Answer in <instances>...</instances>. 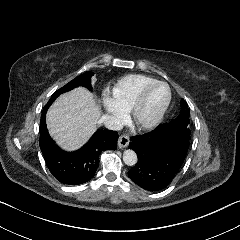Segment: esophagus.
Segmentation results:
<instances>
[{"mask_svg":"<svg viewBox=\"0 0 240 240\" xmlns=\"http://www.w3.org/2000/svg\"><path fill=\"white\" fill-rule=\"evenodd\" d=\"M129 144V137L127 135H121L118 139V147L120 149L126 148Z\"/></svg>","mask_w":240,"mask_h":240,"instance_id":"34e87169","label":"esophagus"}]
</instances>
